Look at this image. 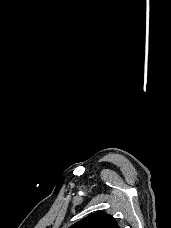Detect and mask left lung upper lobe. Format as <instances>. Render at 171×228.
Returning <instances> with one entry per match:
<instances>
[{
  "label": "left lung upper lobe",
  "instance_id": "left-lung-upper-lobe-1",
  "mask_svg": "<svg viewBox=\"0 0 171 228\" xmlns=\"http://www.w3.org/2000/svg\"><path fill=\"white\" fill-rule=\"evenodd\" d=\"M70 228H119L116 219L105 212L91 214Z\"/></svg>",
  "mask_w": 171,
  "mask_h": 228
}]
</instances>
